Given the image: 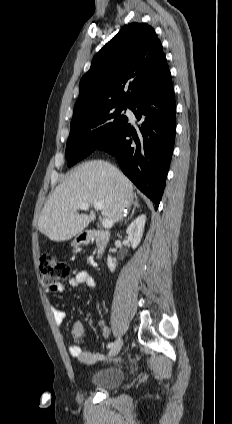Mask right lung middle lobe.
I'll use <instances>...</instances> for the list:
<instances>
[{
	"label": "right lung middle lobe",
	"instance_id": "obj_1",
	"mask_svg": "<svg viewBox=\"0 0 232 424\" xmlns=\"http://www.w3.org/2000/svg\"><path fill=\"white\" fill-rule=\"evenodd\" d=\"M127 105H110L89 109L72 118L65 156L72 166L95 151L128 122L121 112Z\"/></svg>",
	"mask_w": 232,
	"mask_h": 424
}]
</instances>
